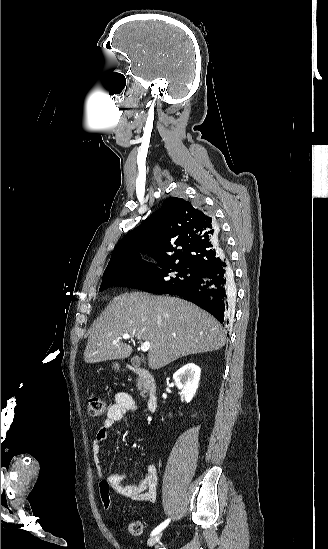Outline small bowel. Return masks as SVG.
<instances>
[{"mask_svg":"<svg viewBox=\"0 0 328 549\" xmlns=\"http://www.w3.org/2000/svg\"><path fill=\"white\" fill-rule=\"evenodd\" d=\"M137 410V404L132 396L126 392H117L114 395V402L108 408L103 425L97 431L92 444V458L96 465L98 476H103L101 466L102 444L106 439L110 428L121 421L127 414ZM130 476L128 474L110 473L105 481L117 494L136 502H154L157 492V471L156 467L148 463L141 477L126 484Z\"/></svg>","mask_w":328,"mask_h":549,"instance_id":"c3829d8e","label":"small bowel"}]
</instances>
